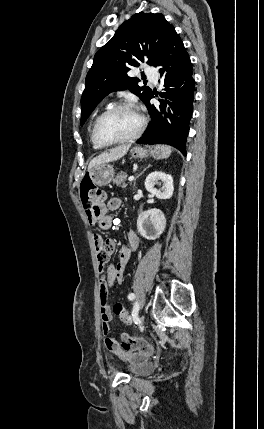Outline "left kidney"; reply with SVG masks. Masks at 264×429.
<instances>
[{"mask_svg":"<svg viewBox=\"0 0 264 429\" xmlns=\"http://www.w3.org/2000/svg\"><path fill=\"white\" fill-rule=\"evenodd\" d=\"M163 184L161 189H156V183ZM145 188L158 199H170L173 195V178L162 171L151 172L145 179ZM166 219L163 212L157 208L144 211L137 219V229L139 234L148 240H155L164 231Z\"/></svg>","mask_w":264,"mask_h":429,"instance_id":"left-kidney-1","label":"left kidney"}]
</instances>
